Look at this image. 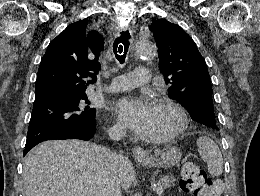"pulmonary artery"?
<instances>
[{"mask_svg":"<svg viewBox=\"0 0 260 196\" xmlns=\"http://www.w3.org/2000/svg\"><path fill=\"white\" fill-rule=\"evenodd\" d=\"M151 77L152 72L148 69H132V72H126V76H115L111 81L110 91L136 90V85L121 84H150Z\"/></svg>","mask_w":260,"mask_h":196,"instance_id":"1","label":"pulmonary artery"}]
</instances>
